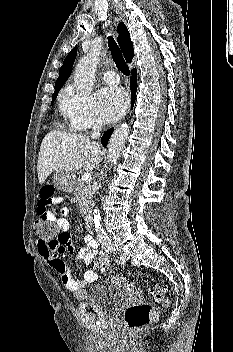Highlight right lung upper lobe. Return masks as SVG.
Instances as JSON below:
<instances>
[{
	"label": "right lung upper lobe",
	"mask_w": 233,
	"mask_h": 352,
	"mask_svg": "<svg viewBox=\"0 0 233 352\" xmlns=\"http://www.w3.org/2000/svg\"><path fill=\"white\" fill-rule=\"evenodd\" d=\"M117 32L119 34L117 41L122 49V52L124 54L126 61L129 63L132 61L134 57L133 43L131 42L130 34L126 26L124 25V23H119L117 27ZM76 55H77V46L74 47L71 50V52L67 55V57L63 62L62 67L60 68L59 77L55 82V87H54L55 91L60 90L64 85V83L69 78L72 72V66L74 64Z\"/></svg>",
	"instance_id": "right-lung-upper-lobe-1"
}]
</instances>
